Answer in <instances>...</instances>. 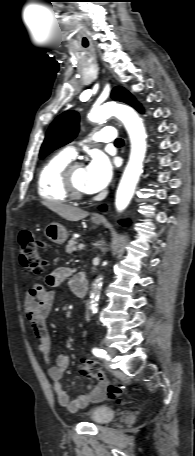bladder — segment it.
<instances>
[{
  "mask_svg": "<svg viewBox=\"0 0 195 456\" xmlns=\"http://www.w3.org/2000/svg\"><path fill=\"white\" fill-rule=\"evenodd\" d=\"M114 415V410L105 405L96 406L89 412V418L95 425L108 424L113 420Z\"/></svg>",
  "mask_w": 195,
  "mask_h": 456,
  "instance_id": "bladder-1",
  "label": "bladder"
}]
</instances>
